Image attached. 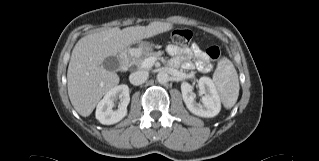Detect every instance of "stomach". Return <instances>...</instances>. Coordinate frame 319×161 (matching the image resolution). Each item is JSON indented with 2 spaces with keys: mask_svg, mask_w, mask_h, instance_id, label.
I'll list each match as a JSON object with an SVG mask.
<instances>
[{
  "mask_svg": "<svg viewBox=\"0 0 319 161\" xmlns=\"http://www.w3.org/2000/svg\"><path fill=\"white\" fill-rule=\"evenodd\" d=\"M151 49L152 47L146 42H140L137 51L144 52V51H150Z\"/></svg>",
  "mask_w": 319,
  "mask_h": 161,
  "instance_id": "obj_1",
  "label": "stomach"
}]
</instances>
